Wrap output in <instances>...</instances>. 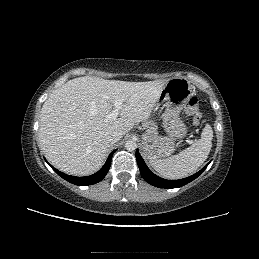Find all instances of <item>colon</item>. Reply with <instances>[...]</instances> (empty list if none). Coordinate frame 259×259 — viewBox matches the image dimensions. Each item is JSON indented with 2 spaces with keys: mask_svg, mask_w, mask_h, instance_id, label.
Returning a JSON list of instances; mask_svg holds the SVG:
<instances>
[{
  "mask_svg": "<svg viewBox=\"0 0 259 259\" xmlns=\"http://www.w3.org/2000/svg\"><path fill=\"white\" fill-rule=\"evenodd\" d=\"M186 113L192 118L194 125H199L201 123V112L199 108V100L197 97H191L186 105Z\"/></svg>",
  "mask_w": 259,
  "mask_h": 259,
  "instance_id": "colon-1",
  "label": "colon"
}]
</instances>
